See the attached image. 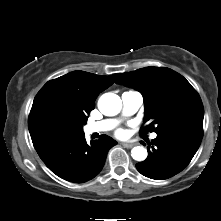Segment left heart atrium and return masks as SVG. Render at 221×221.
Returning a JSON list of instances; mask_svg holds the SVG:
<instances>
[{"mask_svg":"<svg viewBox=\"0 0 221 221\" xmlns=\"http://www.w3.org/2000/svg\"><path fill=\"white\" fill-rule=\"evenodd\" d=\"M124 134V131L122 129H119L117 131V135L122 136Z\"/></svg>","mask_w":221,"mask_h":221,"instance_id":"obj_1","label":"left heart atrium"}]
</instances>
